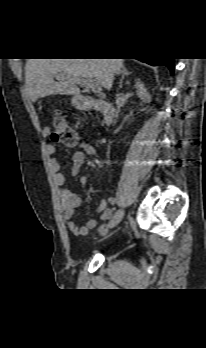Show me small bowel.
<instances>
[{"label": "small bowel", "instance_id": "obj_1", "mask_svg": "<svg viewBox=\"0 0 206 348\" xmlns=\"http://www.w3.org/2000/svg\"><path fill=\"white\" fill-rule=\"evenodd\" d=\"M48 133L49 131L47 129L43 131L45 136H47ZM73 146L75 151L72 156L70 173L71 175L76 176L80 172L81 166L85 160V156L94 155L96 149L91 143L85 141H78ZM45 151L49 158V167L53 175V180L56 186L59 188L62 211L64 217L68 220V230L75 236L87 235L90 230L98 226L99 220L89 219L84 225H78L72 220L82 203V199L65 187V176L60 170V161L57 157H55V146L47 143L45 145ZM80 183L83 186H86L88 184V178L86 176H81ZM97 212L100 214V220L102 221L108 220L112 216V210L107 206V202L105 200H101L99 206L97 207Z\"/></svg>", "mask_w": 206, "mask_h": 348}]
</instances>
